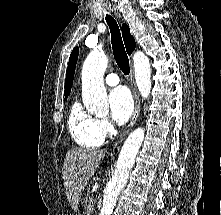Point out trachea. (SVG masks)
Here are the masks:
<instances>
[{
	"mask_svg": "<svg viewBox=\"0 0 221 215\" xmlns=\"http://www.w3.org/2000/svg\"><path fill=\"white\" fill-rule=\"evenodd\" d=\"M105 18L111 32V43L114 59L121 71L125 75H128L130 72L129 59L125 51L119 26L112 16L106 15Z\"/></svg>",
	"mask_w": 221,
	"mask_h": 215,
	"instance_id": "1",
	"label": "trachea"
}]
</instances>
